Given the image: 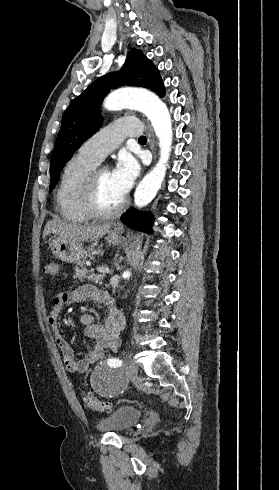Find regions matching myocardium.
<instances>
[{"label": "myocardium", "mask_w": 279, "mask_h": 490, "mask_svg": "<svg viewBox=\"0 0 279 490\" xmlns=\"http://www.w3.org/2000/svg\"><path fill=\"white\" fill-rule=\"evenodd\" d=\"M105 169L94 168L87 180L84 196V205L88 214L93 218L110 219L120 214L126 206V200L122 199L116 206L110 209L104 208L99 199V176Z\"/></svg>", "instance_id": "myocardium-1"}]
</instances>
